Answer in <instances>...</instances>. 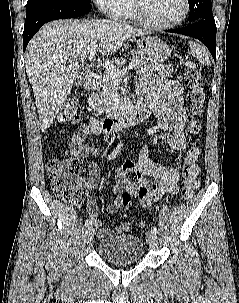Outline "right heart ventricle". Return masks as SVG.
Wrapping results in <instances>:
<instances>
[{"label":"right heart ventricle","mask_w":239,"mask_h":303,"mask_svg":"<svg viewBox=\"0 0 239 303\" xmlns=\"http://www.w3.org/2000/svg\"><path fill=\"white\" fill-rule=\"evenodd\" d=\"M119 20H134V14L132 12V8H131V1L128 0V5H127V9L124 12V14L118 18Z\"/></svg>","instance_id":"obj_1"}]
</instances>
